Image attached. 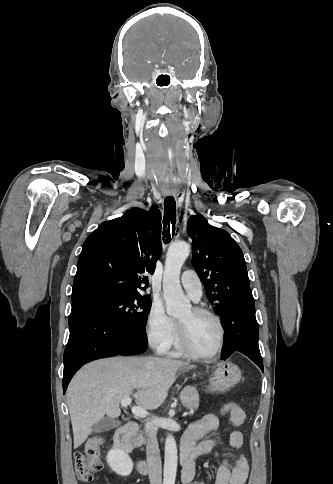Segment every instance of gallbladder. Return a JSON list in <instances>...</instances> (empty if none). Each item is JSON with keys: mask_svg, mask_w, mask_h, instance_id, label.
<instances>
[{"mask_svg": "<svg viewBox=\"0 0 333 484\" xmlns=\"http://www.w3.org/2000/svg\"><path fill=\"white\" fill-rule=\"evenodd\" d=\"M121 421L116 418L103 417L93 426L94 433H105L121 425Z\"/></svg>", "mask_w": 333, "mask_h": 484, "instance_id": "bac80fb5", "label": "gallbladder"}]
</instances>
